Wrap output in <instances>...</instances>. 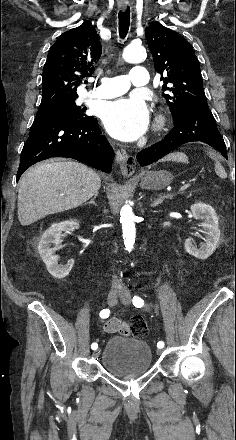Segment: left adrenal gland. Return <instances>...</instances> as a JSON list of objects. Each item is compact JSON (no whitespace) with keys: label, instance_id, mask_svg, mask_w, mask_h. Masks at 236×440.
Returning a JSON list of instances; mask_svg holds the SVG:
<instances>
[{"label":"left adrenal gland","instance_id":"left-adrenal-gland-1","mask_svg":"<svg viewBox=\"0 0 236 440\" xmlns=\"http://www.w3.org/2000/svg\"><path fill=\"white\" fill-rule=\"evenodd\" d=\"M171 195H163L158 198H154V201L151 200V207H156L161 204L165 199L171 198Z\"/></svg>","mask_w":236,"mask_h":440}]
</instances>
